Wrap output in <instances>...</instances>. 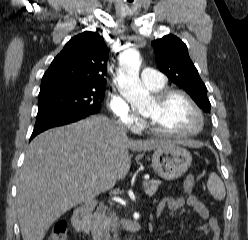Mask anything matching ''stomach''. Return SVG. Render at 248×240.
<instances>
[{
  "label": "stomach",
  "instance_id": "1",
  "mask_svg": "<svg viewBox=\"0 0 248 240\" xmlns=\"http://www.w3.org/2000/svg\"><path fill=\"white\" fill-rule=\"evenodd\" d=\"M191 162L190 152L176 144L159 148L152 156L154 171L166 180H174L182 176L191 166Z\"/></svg>",
  "mask_w": 248,
  "mask_h": 240
}]
</instances>
